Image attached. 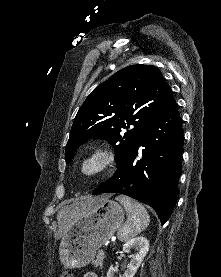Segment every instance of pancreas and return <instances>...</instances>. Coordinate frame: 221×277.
<instances>
[{
  "mask_svg": "<svg viewBox=\"0 0 221 277\" xmlns=\"http://www.w3.org/2000/svg\"><path fill=\"white\" fill-rule=\"evenodd\" d=\"M104 258H105V254L103 252H101V250L98 251L97 258H96V260L93 261L94 267L102 268Z\"/></svg>",
  "mask_w": 221,
  "mask_h": 277,
  "instance_id": "pancreas-1",
  "label": "pancreas"
}]
</instances>
